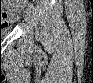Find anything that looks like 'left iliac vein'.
Masks as SVG:
<instances>
[{
    "label": "left iliac vein",
    "instance_id": "left-iliac-vein-1",
    "mask_svg": "<svg viewBox=\"0 0 93 83\" xmlns=\"http://www.w3.org/2000/svg\"><path fill=\"white\" fill-rule=\"evenodd\" d=\"M23 17H24V19H25L27 22H29V20H30V12H29V10H25V11H24Z\"/></svg>",
    "mask_w": 93,
    "mask_h": 83
}]
</instances>
